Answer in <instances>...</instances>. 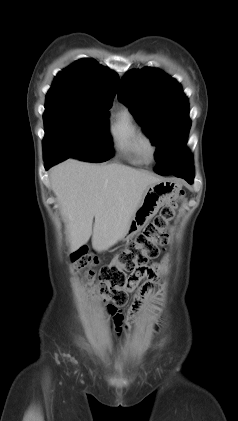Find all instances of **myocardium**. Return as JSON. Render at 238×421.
Returning <instances> with one entry per match:
<instances>
[{
    "mask_svg": "<svg viewBox=\"0 0 238 421\" xmlns=\"http://www.w3.org/2000/svg\"><path fill=\"white\" fill-rule=\"evenodd\" d=\"M142 149L147 159H152L156 152V146L148 136L142 138Z\"/></svg>",
    "mask_w": 238,
    "mask_h": 421,
    "instance_id": "1",
    "label": "myocardium"
}]
</instances>
